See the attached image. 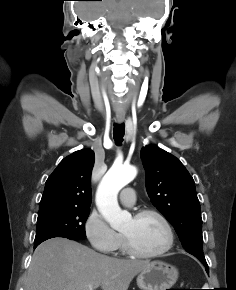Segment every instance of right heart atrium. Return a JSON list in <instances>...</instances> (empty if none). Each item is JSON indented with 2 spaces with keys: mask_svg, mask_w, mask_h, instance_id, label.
Here are the masks:
<instances>
[{
  "mask_svg": "<svg viewBox=\"0 0 236 290\" xmlns=\"http://www.w3.org/2000/svg\"><path fill=\"white\" fill-rule=\"evenodd\" d=\"M84 233L90 245L101 253H113L122 243V236L96 210L88 214L84 222Z\"/></svg>",
  "mask_w": 236,
  "mask_h": 290,
  "instance_id": "obj_1",
  "label": "right heart atrium"
}]
</instances>
